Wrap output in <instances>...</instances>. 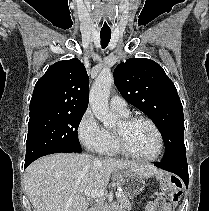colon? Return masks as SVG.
<instances>
[{
  "label": "colon",
  "instance_id": "1",
  "mask_svg": "<svg viewBox=\"0 0 209 211\" xmlns=\"http://www.w3.org/2000/svg\"><path fill=\"white\" fill-rule=\"evenodd\" d=\"M167 188L171 204L176 206L180 200L182 185L180 180L177 178H170L167 182Z\"/></svg>",
  "mask_w": 209,
  "mask_h": 211
}]
</instances>
